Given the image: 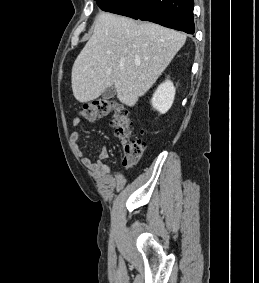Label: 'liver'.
<instances>
[{
	"label": "liver",
	"instance_id": "obj_1",
	"mask_svg": "<svg viewBox=\"0 0 259 283\" xmlns=\"http://www.w3.org/2000/svg\"><path fill=\"white\" fill-rule=\"evenodd\" d=\"M185 41L186 35L173 29L101 12L92 37L73 64V95L87 103L114 86L118 100L134 106Z\"/></svg>",
	"mask_w": 259,
	"mask_h": 283
}]
</instances>
